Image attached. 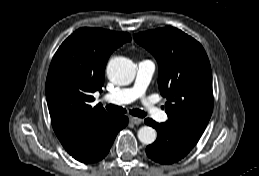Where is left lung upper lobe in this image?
Masks as SVG:
<instances>
[{
    "label": "left lung upper lobe",
    "mask_w": 259,
    "mask_h": 176,
    "mask_svg": "<svg viewBox=\"0 0 259 176\" xmlns=\"http://www.w3.org/2000/svg\"><path fill=\"white\" fill-rule=\"evenodd\" d=\"M133 37L158 61V87L167 97L166 123L200 137L213 110L211 67L202 45L169 26Z\"/></svg>",
    "instance_id": "1"
}]
</instances>
